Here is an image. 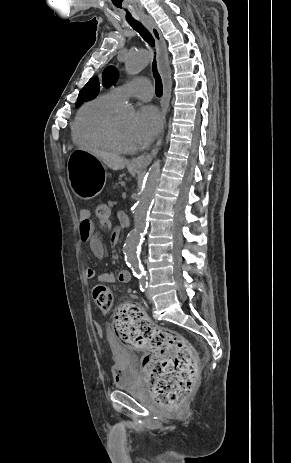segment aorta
<instances>
[{
  "mask_svg": "<svg viewBox=\"0 0 291 463\" xmlns=\"http://www.w3.org/2000/svg\"><path fill=\"white\" fill-rule=\"evenodd\" d=\"M150 63V56L146 51H130L125 60L128 75L140 73ZM160 174V161L157 160L150 167L143 183L138 201L134 210V228L129 232L123 247L125 261L133 273L143 275L138 250L147 229V220L152 205Z\"/></svg>",
  "mask_w": 291,
  "mask_h": 463,
  "instance_id": "obj_1",
  "label": "aorta"
}]
</instances>
